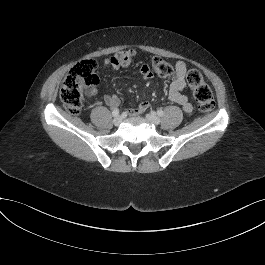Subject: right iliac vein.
Segmentation results:
<instances>
[{"instance_id":"63e3f726","label":"right iliac vein","mask_w":265,"mask_h":265,"mask_svg":"<svg viewBox=\"0 0 265 265\" xmlns=\"http://www.w3.org/2000/svg\"><path fill=\"white\" fill-rule=\"evenodd\" d=\"M121 122H122V117H121V116H117V117L114 118V120H113V124H114L115 126H119V125L121 124Z\"/></svg>"}]
</instances>
